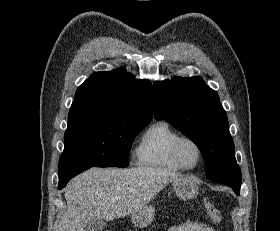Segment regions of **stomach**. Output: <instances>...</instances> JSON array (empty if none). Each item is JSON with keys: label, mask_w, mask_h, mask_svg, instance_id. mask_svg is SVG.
Listing matches in <instances>:
<instances>
[{"label": "stomach", "mask_w": 280, "mask_h": 231, "mask_svg": "<svg viewBox=\"0 0 280 231\" xmlns=\"http://www.w3.org/2000/svg\"><path fill=\"white\" fill-rule=\"evenodd\" d=\"M198 179L191 175H179L172 179V189L180 199H193L198 195ZM155 215V207L153 205H145L141 211L132 213L131 221L137 227H147L153 221Z\"/></svg>", "instance_id": "1"}]
</instances>
